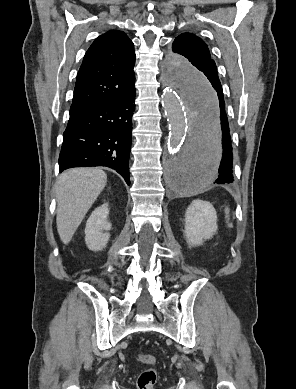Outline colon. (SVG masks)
<instances>
[{
    "instance_id": "colon-1",
    "label": "colon",
    "mask_w": 296,
    "mask_h": 389,
    "mask_svg": "<svg viewBox=\"0 0 296 389\" xmlns=\"http://www.w3.org/2000/svg\"><path fill=\"white\" fill-rule=\"evenodd\" d=\"M138 360L150 366L139 374L137 380L138 389H153L157 380V372L153 367L156 364V358L153 355L139 354Z\"/></svg>"
}]
</instances>
